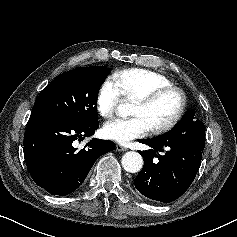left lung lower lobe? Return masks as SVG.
<instances>
[{
	"label": "left lung lower lobe",
	"instance_id": "0a47b994",
	"mask_svg": "<svg viewBox=\"0 0 237 237\" xmlns=\"http://www.w3.org/2000/svg\"><path fill=\"white\" fill-rule=\"evenodd\" d=\"M139 142L152 149L139 151L144 167L134 180L136 189L147 198L164 203L179 198L200 167L205 147L204 123L187 118L171 131Z\"/></svg>",
	"mask_w": 237,
	"mask_h": 237
}]
</instances>
